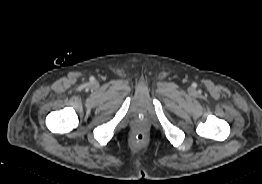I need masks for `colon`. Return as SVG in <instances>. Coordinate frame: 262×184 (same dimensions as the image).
Masks as SVG:
<instances>
[{
    "mask_svg": "<svg viewBox=\"0 0 262 184\" xmlns=\"http://www.w3.org/2000/svg\"><path fill=\"white\" fill-rule=\"evenodd\" d=\"M135 139H136V141H138V142H142V141L145 140V134H144L143 132H137V133L135 134Z\"/></svg>",
    "mask_w": 262,
    "mask_h": 184,
    "instance_id": "colon-1",
    "label": "colon"
}]
</instances>
